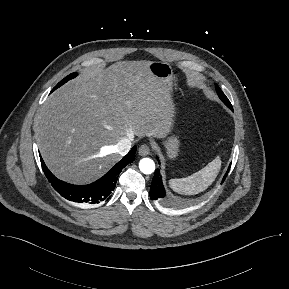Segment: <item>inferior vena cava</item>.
<instances>
[{
  "label": "inferior vena cava",
  "instance_id": "inferior-vena-cava-1",
  "mask_svg": "<svg viewBox=\"0 0 289 289\" xmlns=\"http://www.w3.org/2000/svg\"><path fill=\"white\" fill-rule=\"evenodd\" d=\"M133 139L131 137H123L117 143V152L123 156L131 149Z\"/></svg>",
  "mask_w": 289,
  "mask_h": 289
}]
</instances>
